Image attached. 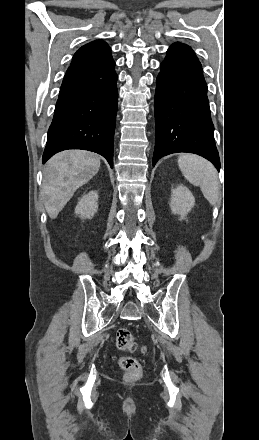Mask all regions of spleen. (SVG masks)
Listing matches in <instances>:
<instances>
[{"label":"spleen","instance_id":"obj_1","mask_svg":"<svg viewBox=\"0 0 259 440\" xmlns=\"http://www.w3.org/2000/svg\"><path fill=\"white\" fill-rule=\"evenodd\" d=\"M178 165L184 177L194 186H199L209 203L215 205L219 198L220 185L214 166L193 154L181 155Z\"/></svg>","mask_w":259,"mask_h":440}]
</instances>
